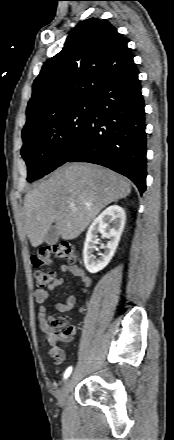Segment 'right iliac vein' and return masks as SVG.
Wrapping results in <instances>:
<instances>
[{
  "instance_id": "right-iliac-vein-1",
  "label": "right iliac vein",
  "mask_w": 174,
  "mask_h": 440,
  "mask_svg": "<svg viewBox=\"0 0 174 440\" xmlns=\"http://www.w3.org/2000/svg\"><path fill=\"white\" fill-rule=\"evenodd\" d=\"M72 388V377H68L64 382L58 397V405L63 408L66 404L67 396Z\"/></svg>"
}]
</instances>
